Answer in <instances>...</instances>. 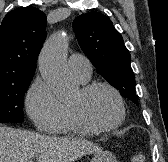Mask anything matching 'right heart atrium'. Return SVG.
Instances as JSON below:
<instances>
[{
  "mask_svg": "<svg viewBox=\"0 0 168 162\" xmlns=\"http://www.w3.org/2000/svg\"><path fill=\"white\" fill-rule=\"evenodd\" d=\"M26 110L37 129L45 133L55 132L65 121L64 104L42 78H36L25 96Z\"/></svg>",
  "mask_w": 168,
  "mask_h": 162,
  "instance_id": "d8ad5b80",
  "label": "right heart atrium"
}]
</instances>
